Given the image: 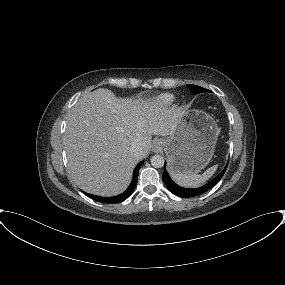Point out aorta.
<instances>
[{
    "label": "aorta",
    "instance_id": "obj_1",
    "mask_svg": "<svg viewBox=\"0 0 285 285\" xmlns=\"http://www.w3.org/2000/svg\"><path fill=\"white\" fill-rule=\"evenodd\" d=\"M151 165L155 168H161L164 165V158L161 155H154L151 158Z\"/></svg>",
    "mask_w": 285,
    "mask_h": 285
}]
</instances>
